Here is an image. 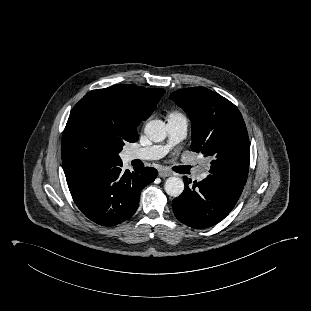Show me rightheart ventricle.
<instances>
[{
    "instance_id": "e07e8e85",
    "label": "right heart ventricle",
    "mask_w": 311,
    "mask_h": 311,
    "mask_svg": "<svg viewBox=\"0 0 311 311\" xmlns=\"http://www.w3.org/2000/svg\"><path fill=\"white\" fill-rule=\"evenodd\" d=\"M178 118H185V117L183 116V114L177 111H173L168 114V119H178Z\"/></svg>"
}]
</instances>
